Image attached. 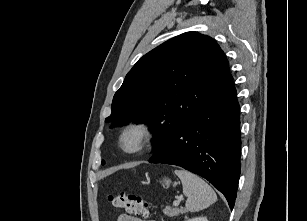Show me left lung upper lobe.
<instances>
[{"instance_id":"1","label":"left lung upper lobe","mask_w":307,"mask_h":221,"mask_svg":"<svg viewBox=\"0 0 307 221\" xmlns=\"http://www.w3.org/2000/svg\"><path fill=\"white\" fill-rule=\"evenodd\" d=\"M232 80L228 60L216 41L187 32L139 59L115 93L105 122L117 125L133 120L152 125L156 154Z\"/></svg>"}]
</instances>
